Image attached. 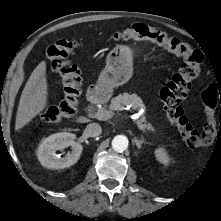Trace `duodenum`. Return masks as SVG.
Here are the masks:
<instances>
[{
	"mask_svg": "<svg viewBox=\"0 0 221 221\" xmlns=\"http://www.w3.org/2000/svg\"><path fill=\"white\" fill-rule=\"evenodd\" d=\"M107 91L101 86H95L88 90L87 98L91 104H98L107 98Z\"/></svg>",
	"mask_w": 221,
	"mask_h": 221,
	"instance_id": "obj_1",
	"label": "duodenum"
}]
</instances>
